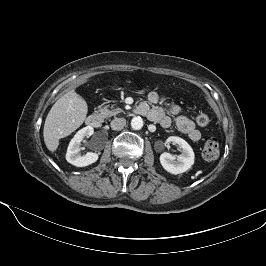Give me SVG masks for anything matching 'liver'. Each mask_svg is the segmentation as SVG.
Instances as JSON below:
<instances>
[{"label":"liver","instance_id":"obj_1","mask_svg":"<svg viewBox=\"0 0 266 266\" xmlns=\"http://www.w3.org/2000/svg\"><path fill=\"white\" fill-rule=\"evenodd\" d=\"M88 112L86 101L75 90L60 97L49 111L43 130L44 142L49 151L55 152L61 138L79 128Z\"/></svg>","mask_w":266,"mask_h":266}]
</instances>
